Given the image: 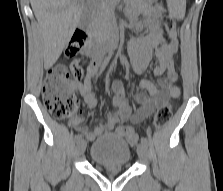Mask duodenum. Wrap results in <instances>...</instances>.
Listing matches in <instances>:
<instances>
[{
  "instance_id": "410a0bca",
  "label": "duodenum",
  "mask_w": 223,
  "mask_h": 191,
  "mask_svg": "<svg viewBox=\"0 0 223 191\" xmlns=\"http://www.w3.org/2000/svg\"><path fill=\"white\" fill-rule=\"evenodd\" d=\"M120 46V39L116 33L105 35L97 40L95 56L105 57Z\"/></svg>"
}]
</instances>
